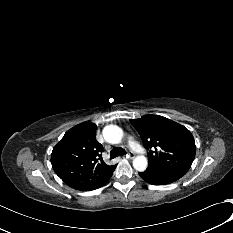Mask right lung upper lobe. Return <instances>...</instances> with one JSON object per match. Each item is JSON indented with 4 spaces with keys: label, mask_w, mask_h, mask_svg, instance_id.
Listing matches in <instances>:
<instances>
[{
    "label": "right lung upper lobe",
    "mask_w": 233,
    "mask_h": 233,
    "mask_svg": "<svg viewBox=\"0 0 233 233\" xmlns=\"http://www.w3.org/2000/svg\"><path fill=\"white\" fill-rule=\"evenodd\" d=\"M96 124L82 123L65 133L53 148L51 163L56 174L71 188L90 191L102 187L116 165L102 159L103 147L95 136Z\"/></svg>",
    "instance_id": "obj_1"
}]
</instances>
